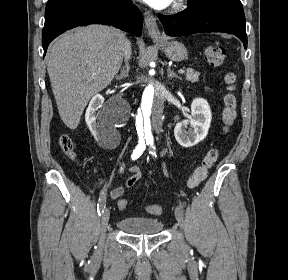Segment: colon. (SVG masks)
Here are the masks:
<instances>
[{
	"mask_svg": "<svg viewBox=\"0 0 288 280\" xmlns=\"http://www.w3.org/2000/svg\"><path fill=\"white\" fill-rule=\"evenodd\" d=\"M225 55V48L219 44H210L204 50L205 60L208 65L212 67L221 66L224 62ZM236 79L237 78L235 73L229 72L224 75V83L226 85V88L229 90V93H227L224 97V107L222 110V118L226 129H229L233 125L237 117V99L232 93L235 88ZM59 145L65 155L70 158L74 157V143L70 136L66 134L61 135L59 138ZM218 156L219 154L216 149H211L207 152L201 164L194 170V172L188 179V186L190 188L198 187L200 183L206 179L208 171L217 162ZM118 206L126 209V199H122L119 202ZM146 210L152 214H160L162 212V206L149 205L146 207Z\"/></svg>",
	"mask_w": 288,
	"mask_h": 280,
	"instance_id": "obj_1",
	"label": "colon"
}]
</instances>
